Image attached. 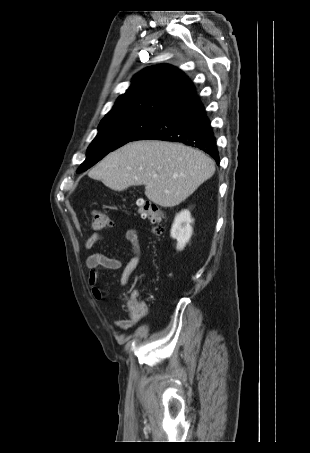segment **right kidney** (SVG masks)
I'll return each instance as SVG.
<instances>
[{
    "instance_id": "1",
    "label": "right kidney",
    "mask_w": 310,
    "mask_h": 453,
    "mask_svg": "<svg viewBox=\"0 0 310 453\" xmlns=\"http://www.w3.org/2000/svg\"><path fill=\"white\" fill-rule=\"evenodd\" d=\"M193 219L189 210H182L174 219L171 228V237L177 240V250H183L192 236Z\"/></svg>"
}]
</instances>
